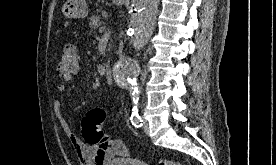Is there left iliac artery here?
I'll return each mask as SVG.
<instances>
[{
  "instance_id": "left-iliac-artery-1",
  "label": "left iliac artery",
  "mask_w": 276,
  "mask_h": 165,
  "mask_svg": "<svg viewBox=\"0 0 276 165\" xmlns=\"http://www.w3.org/2000/svg\"><path fill=\"white\" fill-rule=\"evenodd\" d=\"M130 120L135 127L139 128L142 126V119L138 113V101H134Z\"/></svg>"
}]
</instances>
